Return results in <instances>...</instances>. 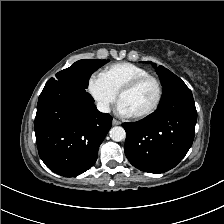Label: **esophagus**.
<instances>
[{
    "mask_svg": "<svg viewBox=\"0 0 224 224\" xmlns=\"http://www.w3.org/2000/svg\"><path fill=\"white\" fill-rule=\"evenodd\" d=\"M112 124H113V125H120L121 122L118 121V120H116V119H113Z\"/></svg>",
    "mask_w": 224,
    "mask_h": 224,
    "instance_id": "esophagus-1",
    "label": "esophagus"
}]
</instances>
